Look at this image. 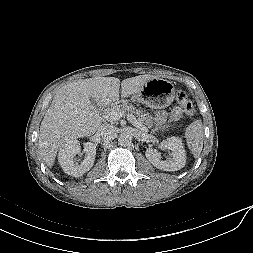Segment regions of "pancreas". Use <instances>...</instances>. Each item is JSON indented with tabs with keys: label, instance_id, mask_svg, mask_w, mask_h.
Returning a JSON list of instances; mask_svg holds the SVG:
<instances>
[{
	"label": "pancreas",
	"instance_id": "cf45deb5",
	"mask_svg": "<svg viewBox=\"0 0 253 253\" xmlns=\"http://www.w3.org/2000/svg\"><path fill=\"white\" fill-rule=\"evenodd\" d=\"M112 110L121 113L123 116H126L127 114L135 115L137 117V121L142 125H147L148 127L152 126L153 117L145 110H137L128 102H123V104L116 105L112 108Z\"/></svg>",
	"mask_w": 253,
	"mask_h": 253
}]
</instances>
